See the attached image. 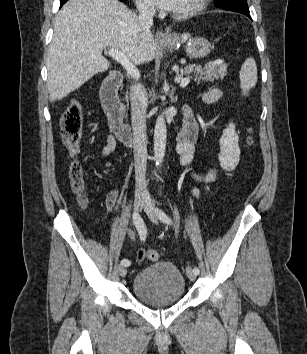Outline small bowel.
Instances as JSON below:
<instances>
[{
    "instance_id": "obj_1",
    "label": "small bowel",
    "mask_w": 307,
    "mask_h": 354,
    "mask_svg": "<svg viewBox=\"0 0 307 354\" xmlns=\"http://www.w3.org/2000/svg\"><path fill=\"white\" fill-rule=\"evenodd\" d=\"M221 97V90L218 88L210 89L203 93L202 98L206 103H214ZM199 139V128L196 120L189 114H186L184 124L180 130L177 139V152L180 156L181 164L185 167H190L193 161L194 144ZM118 139L115 134L110 132L106 139V144L103 146L100 156L102 158L108 157L112 154L117 146ZM240 148L238 143V136L235 131V126L229 122L221 138V153H220V167L224 171H232L239 161ZM191 176L194 180L200 183H211L217 177V170L215 168L206 172L191 171ZM194 196L199 195L197 188L192 189ZM119 198V191L113 190L107 196V206L114 207Z\"/></svg>"
}]
</instances>
